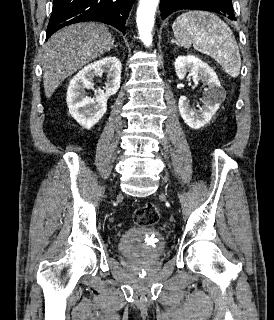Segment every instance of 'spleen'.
Instances as JSON below:
<instances>
[{
    "label": "spleen",
    "mask_w": 274,
    "mask_h": 320,
    "mask_svg": "<svg viewBox=\"0 0 274 320\" xmlns=\"http://www.w3.org/2000/svg\"><path fill=\"white\" fill-rule=\"evenodd\" d=\"M173 34L184 48H193L211 56L231 78H238L241 56L229 26L216 14L191 10L172 24Z\"/></svg>",
    "instance_id": "1"
}]
</instances>
